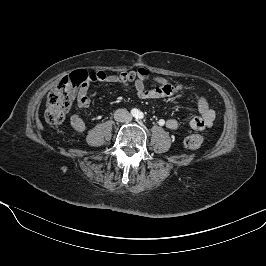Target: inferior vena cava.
Listing matches in <instances>:
<instances>
[{
  "mask_svg": "<svg viewBox=\"0 0 266 266\" xmlns=\"http://www.w3.org/2000/svg\"><path fill=\"white\" fill-rule=\"evenodd\" d=\"M114 119L119 122H130L132 116L126 109H117L114 113Z\"/></svg>",
  "mask_w": 266,
  "mask_h": 266,
  "instance_id": "inferior-vena-cava-1",
  "label": "inferior vena cava"
}]
</instances>
